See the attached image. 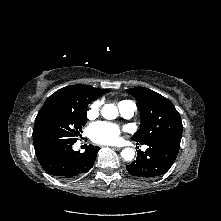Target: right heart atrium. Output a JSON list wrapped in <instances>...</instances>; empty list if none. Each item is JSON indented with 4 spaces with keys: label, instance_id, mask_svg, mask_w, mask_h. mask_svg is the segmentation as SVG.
<instances>
[{
    "label": "right heart atrium",
    "instance_id": "right-heart-atrium-1",
    "mask_svg": "<svg viewBox=\"0 0 221 221\" xmlns=\"http://www.w3.org/2000/svg\"><path fill=\"white\" fill-rule=\"evenodd\" d=\"M100 108V102L99 101H95L94 103H92L87 111V116L89 118L94 117Z\"/></svg>",
    "mask_w": 221,
    "mask_h": 221
}]
</instances>
